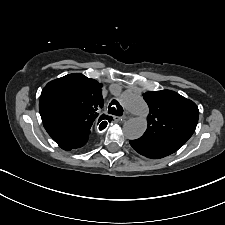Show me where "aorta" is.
<instances>
[{"instance_id":"obj_1","label":"aorta","mask_w":225,"mask_h":225,"mask_svg":"<svg viewBox=\"0 0 225 225\" xmlns=\"http://www.w3.org/2000/svg\"><path fill=\"white\" fill-rule=\"evenodd\" d=\"M121 104L130 112L137 115L131 118L123 125V132L127 139L140 138L147 129V120L144 116L148 113V106L146 102L135 94L123 93L120 95Z\"/></svg>"}]
</instances>
